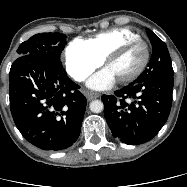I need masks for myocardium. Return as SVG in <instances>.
<instances>
[{"label":"myocardium","instance_id":"1","mask_svg":"<svg viewBox=\"0 0 187 187\" xmlns=\"http://www.w3.org/2000/svg\"><path fill=\"white\" fill-rule=\"evenodd\" d=\"M136 43H141L145 46V50H146L145 58H144L143 62L141 63V65L132 74H130L126 77H123L121 79H118V81L120 83H128V82L134 81L144 72V70L146 69V67L149 63L150 56H151V49H150L149 43L141 37L130 39V40L124 41L123 43L119 44L117 47L112 49L105 56L104 61L107 66L110 61L121 56L130 46H132Z\"/></svg>","mask_w":187,"mask_h":187}]
</instances>
